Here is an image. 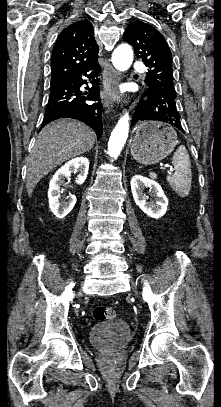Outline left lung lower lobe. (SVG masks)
Masks as SVG:
<instances>
[{"label":"left lung lower lobe","mask_w":221,"mask_h":407,"mask_svg":"<svg viewBox=\"0 0 221 407\" xmlns=\"http://www.w3.org/2000/svg\"><path fill=\"white\" fill-rule=\"evenodd\" d=\"M144 100L137 105L134 114L136 121L155 120L166 122L183 132L180 114L176 106L174 88L163 84H156L148 88L143 96Z\"/></svg>","instance_id":"obj_1"}]
</instances>
